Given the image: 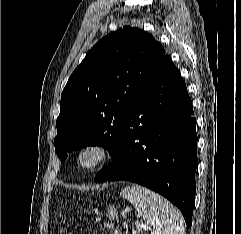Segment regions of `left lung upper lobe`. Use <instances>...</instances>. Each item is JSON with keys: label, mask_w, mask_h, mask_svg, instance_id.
I'll return each mask as SVG.
<instances>
[{"label": "left lung upper lobe", "mask_w": 241, "mask_h": 234, "mask_svg": "<svg viewBox=\"0 0 241 234\" xmlns=\"http://www.w3.org/2000/svg\"><path fill=\"white\" fill-rule=\"evenodd\" d=\"M164 55L161 43L136 27L98 41L62 92L54 139L58 157L90 145L112 156L132 102Z\"/></svg>", "instance_id": "left-lung-upper-lobe-1"}]
</instances>
